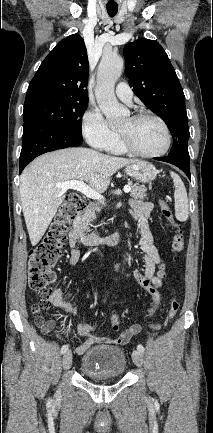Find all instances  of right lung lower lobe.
Returning a JSON list of instances; mask_svg holds the SVG:
<instances>
[{
  "instance_id": "1",
  "label": "right lung lower lobe",
  "mask_w": 213,
  "mask_h": 433,
  "mask_svg": "<svg viewBox=\"0 0 213 433\" xmlns=\"http://www.w3.org/2000/svg\"><path fill=\"white\" fill-rule=\"evenodd\" d=\"M82 140L46 121H24L20 173L35 157L56 149L79 146Z\"/></svg>"
}]
</instances>
